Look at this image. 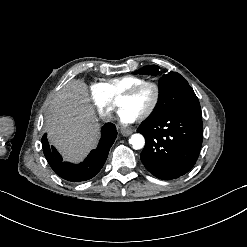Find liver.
Segmentation results:
<instances>
[{
  "mask_svg": "<svg viewBox=\"0 0 247 247\" xmlns=\"http://www.w3.org/2000/svg\"><path fill=\"white\" fill-rule=\"evenodd\" d=\"M44 132L63 162L79 164L96 149L101 124L83 80L72 79L55 95L45 119Z\"/></svg>",
  "mask_w": 247,
  "mask_h": 247,
  "instance_id": "obj_1",
  "label": "liver"
}]
</instances>
